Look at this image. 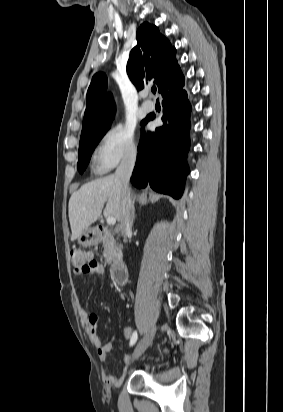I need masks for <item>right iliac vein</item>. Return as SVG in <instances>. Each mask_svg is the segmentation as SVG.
I'll use <instances>...</instances> for the list:
<instances>
[{
	"instance_id": "obj_1",
	"label": "right iliac vein",
	"mask_w": 283,
	"mask_h": 412,
	"mask_svg": "<svg viewBox=\"0 0 283 412\" xmlns=\"http://www.w3.org/2000/svg\"><path fill=\"white\" fill-rule=\"evenodd\" d=\"M155 333H156V326L153 325L149 329V331L146 333V335L137 344L133 352V355H132L133 359L139 358L144 353V351L148 348V346L152 342Z\"/></svg>"
}]
</instances>
